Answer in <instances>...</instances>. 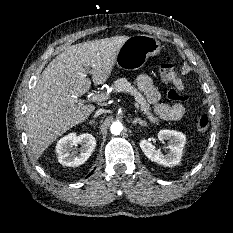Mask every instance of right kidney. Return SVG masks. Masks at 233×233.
<instances>
[{
    "label": "right kidney",
    "mask_w": 233,
    "mask_h": 233,
    "mask_svg": "<svg viewBox=\"0 0 233 233\" xmlns=\"http://www.w3.org/2000/svg\"><path fill=\"white\" fill-rule=\"evenodd\" d=\"M80 145V148H76ZM96 147L93 135L84 133L79 136L70 133L61 138L56 145L58 161L64 166H79L85 163Z\"/></svg>",
    "instance_id": "1"
}]
</instances>
